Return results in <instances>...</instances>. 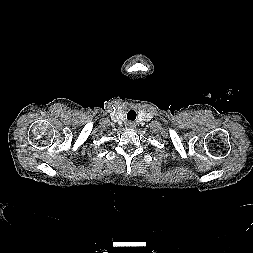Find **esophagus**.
I'll return each mask as SVG.
<instances>
[{
    "label": "esophagus",
    "instance_id": "34e87169",
    "mask_svg": "<svg viewBox=\"0 0 253 253\" xmlns=\"http://www.w3.org/2000/svg\"><path fill=\"white\" fill-rule=\"evenodd\" d=\"M126 125L130 129H133L135 127V123L133 121H128Z\"/></svg>",
    "mask_w": 253,
    "mask_h": 253
}]
</instances>
